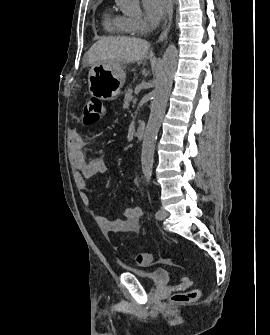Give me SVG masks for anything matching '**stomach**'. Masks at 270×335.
<instances>
[{
	"label": "stomach",
	"mask_w": 270,
	"mask_h": 335,
	"mask_svg": "<svg viewBox=\"0 0 270 335\" xmlns=\"http://www.w3.org/2000/svg\"><path fill=\"white\" fill-rule=\"evenodd\" d=\"M125 78L126 74L121 66L111 70V67L92 64L88 72V92L92 98L98 100H117Z\"/></svg>",
	"instance_id": "1"
}]
</instances>
